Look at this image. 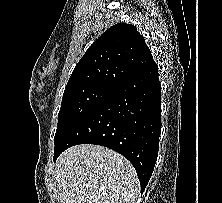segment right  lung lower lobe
I'll use <instances>...</instances> for the list:
<instances>
[{
  "instance_id": "obj_1",
  "label": "right lung lower lobe",
  "mask_w": 222,
  "mask_h": 203,
  "mask_svg": "<svg viewBox=\"0 0 222 203\" xmlns=\"http://www.w3.org/2000/svg\"><path fill=\"white\" fill-rule=\"evenodd\" d=\"M161 85L154 62L134 74L55 142L54 160L78 144L108 147L134 166L144 191L155 166L161 131Z\"/></svg>"
}]
</instances>
